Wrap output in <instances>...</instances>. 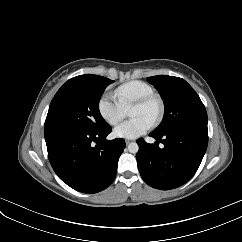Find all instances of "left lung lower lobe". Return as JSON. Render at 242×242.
Wrapping results in <instances>:
<instances>
[{
  "mask_svg": "<svg viewBox=\"0 0 242 242\" xmlns=\"http://www.w3.org/2000/svg\"><path fill=\"white\" fill-rule=\"evenodd\" d=\"M154 144L137 140L136 154L142 179L151 187L169 190L189 181L196 173L208 144L206 124H188L163 134L150 133ZM159 142L164 144L160 148Z\"/></svg>",
  "mask_w": 242,
  "mask_h": 242,
  "instance_id": "left-lung-lower-lobe-1",
  "label": "left lung lower lobe"
}]
</instances>
